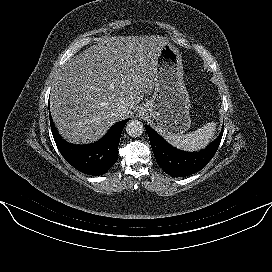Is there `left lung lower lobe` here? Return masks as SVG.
Listing matches in <instances>:
<instances>
[{
  "instance_id": "obj_1",
  "label": "left lung lower lobe",
  "mask_w": 272,
  "mask_h": 272,
  "mask_svg": "<svg viewBox=\"0 0 272 272\" xmlns=\"http://www.w3.org/2000/svg\"><path fill=\"white\" fill-rule=\"evenodd\" d=\"M151 147L158 165L172 177H185L203 169L215 155L222 139L223 129L219 137L206 149L189 153L170 146L160 135L145 125Z\"/></svg>"
}]
</instances>
